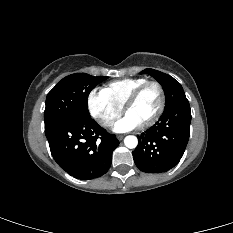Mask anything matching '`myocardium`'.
<instances>
[{"label":"myocardium","mask_w":233,"mask_h":233,"mask_svg":"<svg viewBox=\"0 0 233 233\" xmlns=\"http://www.w3.org/2000/svg\"><path fill=\"white\" fill-rule=\"evenodd\" d=\"M149 86L157 87V89L159 91V95H160V103H159V107H158L157 111L154 113V115L146 122L140 124L141 127H144V128L152 126L160 118V116L162 115V113L164 111L165 91H164L163 86L157 81H147V82L143 83L142 85H140L139 87H137L131 93V95L128 97L126 102L124 103V111L127 112L128 109L137 101V99L140 97L142 92Z\"/></svg>","instance_id":"1"}]
</instances>
